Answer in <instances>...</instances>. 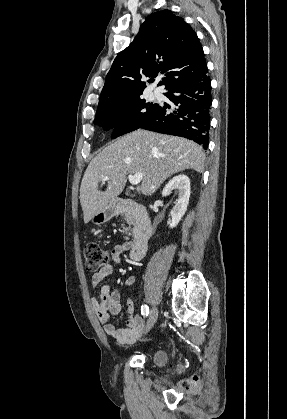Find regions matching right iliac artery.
Segmentation results:
<instances>
[{
	"mask_svg": "<svg viewBox=\"0 0 287 419\" xmlns=\"http://www.w3.org/2000/svg\"><path fill=\"white\" fill-rule=\"evenodd\" d=\"M141 314L144 317H147L148 316V314H149V307L146 304H144V305L141 306Z\"/></svg>",
	"mask_w": 287,
	"mask_h": 419,
	"instance_id": "1",
	"label": "right iliac artery"
}]
</instances>
